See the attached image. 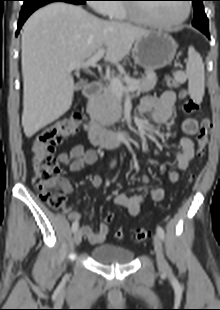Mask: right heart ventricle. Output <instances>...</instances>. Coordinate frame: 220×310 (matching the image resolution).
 <instances>
[{"mask_svg": "<svg viewBox=\"0 0 220 310\" xmlns=\"http://www.w3.org/2000/svg\"><path fill=\"white\" fill-rule=\"evenodd\" d=\"M107 15L116 20L128 19L126 7L122 4L112 5V7L108 10Z\"/></svg>", "mask_w": 220, "mask_h": 310, "instance_id": "right-heart-ventricle-1", "label": "right heart ventricle"}]
</instances>
